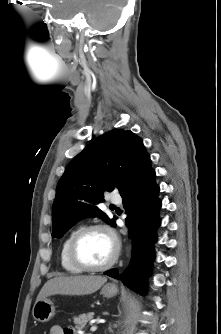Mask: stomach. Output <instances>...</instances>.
<instances>
[{"label":"stomach","instance_id":"stomach-1","mask_svg":"<svg viewBox=\"0 0 221 334\" xmlns=\"http://www.w3.org/2000/svg\"><path fill=\"white\" fill-rule=\"evenodd\" d=\"M117 292L118 288L113 283H108L101 289V294L106 298L114 297ZM32 315L39 322H48L55 315V306L48 298L36 301L32 309Z\"/></svg>","mask_w":221,"mask_h":334}]
</instances>
